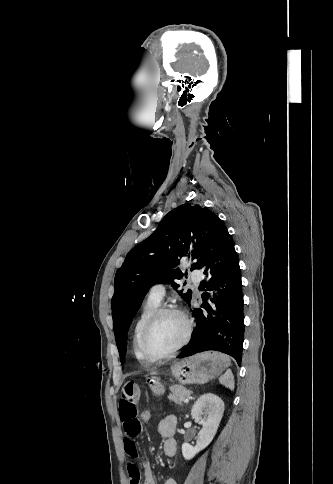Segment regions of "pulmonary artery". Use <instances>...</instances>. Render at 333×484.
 Segmentation results:
<instances>
[{"instance_id": "obj_1", "label": "pulmonary artery", "mask_w": 333, "mask_h": 484, "mask_svg": "<svg viewBox=\"0 0 333 484\" xmlns=\"http://www.w3.org/2000/svg\"><path fill=\"white\" fill-rule=\"evenodd\" d=\"M191 280L194 285L197 287L201 281V275L199 272L194 271L191 276ZM165 296V285L164 284H155L152 286L149 292V299L161 303Z\"/></svg>"}]
</instances>
